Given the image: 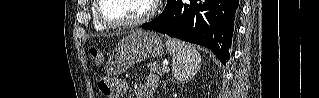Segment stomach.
Wrapping results in <instances>:
<instances>
[{"label":"stomach","mask_w":319,"mask_h":98,"mask_svg":"<svg viewBox=\"0 0 319 98\" xmlns=\"http://www.w3.org/2000/svg\"><path fill=\"white\" fill-rule=\"evenodd\" d=\"M164 54V44L155 32L138 31L124 37L115 48L109 62L108 74L117 76L132 64ZM109 98L114 96L113 87L107 82ZM110 86V87H109ZM111 90V91H110Z\"/></svg>","instance_id":"obj_1"}]
</instances>
